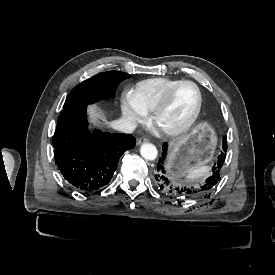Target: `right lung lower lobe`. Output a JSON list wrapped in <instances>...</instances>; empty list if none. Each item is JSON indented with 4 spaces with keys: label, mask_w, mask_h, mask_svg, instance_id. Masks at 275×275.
Listing matches in <instances>:
<instances>
[{
    "label": "right lung lower lobe",
    "mask_w": 275,
    "mask_h": 275,
    "mask_svg": "<svg viewBox=\"0 0 275 275\" xmlns=\"http://www.w3.org/2000/svg\"><path fill=\"white\" fill-rule=\"evenodd\" d=\"M87 106L63 108L53 136L55 163L66 181L81 192L107 185L121 155L134 148L130 134L90 133Z\"/></svg>",
    "instance_id": "1"
}]
</instances>
